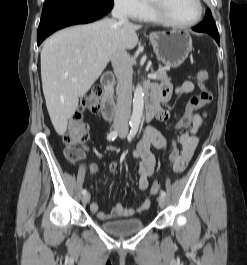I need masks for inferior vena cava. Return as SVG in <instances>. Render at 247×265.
I'll list each match as a JSON object with an SVG mask.
<instances>
[{
  "label": "inferior vena cava",
  "mask_w": 247,
  "mask_h": 265,
  "mask_svg": "<svg viewBox=\"0 0 247 265\" xmlns=\"http://www.w3.org/2000/svg\"><path fill=\"white\" fill-rule=\"evenodd\" d=\"M112 16L118 19L120 23H128V19L120 5L116 4L114 6ZM111 62L118 79V97L114 125L127 127L132 102V64L130 55L125 50L118 51L113 55Z\"/></svg>",
  "instance_id": "1"
}]
</instances>
